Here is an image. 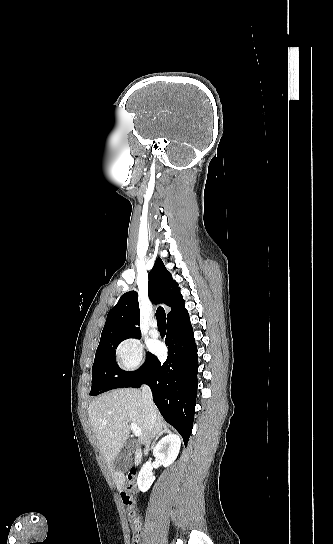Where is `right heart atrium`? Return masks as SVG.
Here are the masks:
<instances>
[{
	"instance_id": "d8ad5b80",
	"label": "right heart atrium",
	"mask_w": 333,
	"mask_h": 544,
	"mask_svg": "<svg viewBox=\"0 0 333 544\" xmlns=\"http://www.w3.org/2000/svg\"><path fill=\"white\" fill-rule=\"evenodd\" d=\"M118 367L124 372L139 369L143 362L144 352L140 341L128 337L118 343L115 349Z\"/></svg>"
}]
</instances>
